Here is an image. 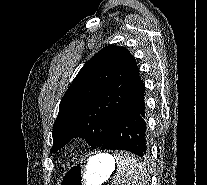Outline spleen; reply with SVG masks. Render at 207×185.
I'll return each instance as SVG.
<instances>
[{
    "instance_id": "obj_1",
    "label": "spleen",
    "mask_w": 207,
    "mask_h": 185,
    "mask_svg": "<svg viewBox=\"0 0 207 185\" xmlns=\"http://www.w3.org/2000/svg\"><path fill=\"white\" fill-rule=\"evenodd\" d=\"M120 158H135L133 151H118ZM120 164L116 170L115 178H112L111 185H144L145 179H150L146 174V167L140 159H117Z\"/></svg>"
}]
</instances>
